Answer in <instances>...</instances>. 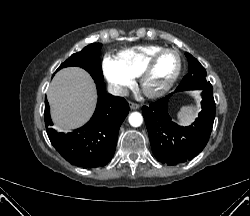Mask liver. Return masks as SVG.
Masks as SVG:
<instances>
[{
	"label": "liver",
	"instance_id": "obj_1",
	"mask_svg": "<svg viewBox=\"0 0 250 216\" xmlns=\"http://www.w3.org/2000/svg\"><path fill=\"white\" fill-rule=\"evenodd\" d=\"M47 98L55 127L61 131H70L82 125L92 114L96 103V89L85 70L69 67L55 75Z\"/></svg>",
	"mask_w": 250,
	"mask_h": 216
}]
</instances>
